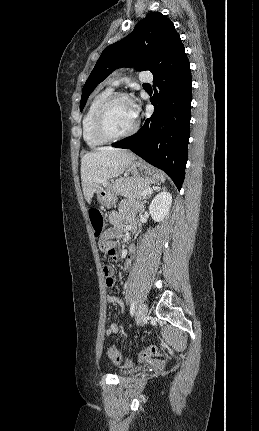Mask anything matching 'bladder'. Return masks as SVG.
<instances>
[{
	"mask_svg": "<svg viewBox=\"0 0 259 431\" xmlns=\"http://www.w3.org/2000/svg\"><path fill=\"white\" fill-rule=\"evenodd\" d=\"M137 369L138 368H135V367L127 368V369H124V370L120 371L118 375L119 376L129 375V374L134 373Z\"/></svg>",
	"mask_w": 259,
	"mask_h": 431,
	"instance_id": "bladder-1",
	"label": "bladder"
}]
</instances>
